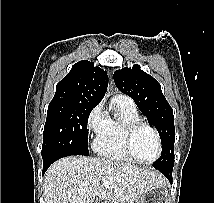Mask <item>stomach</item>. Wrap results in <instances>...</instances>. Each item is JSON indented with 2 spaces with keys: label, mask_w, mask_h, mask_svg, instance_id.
Listing matches in <instances>:
<instances>
[{
  "label": "stomach",
  "mask_w": 214,
  "mask_h": 203,
  "mask_svg": "<svg viewBox=\"0 0 214 203\" xmlns=\"http://www.w3.org/2000/svg\"><path fill=\"white\" fill-rule=\"evenodd\" d=\"M136 203H170L166 185L154 186L147 190Z\"/></svg>",
  "instance_id": "1"
}]
</instances>
